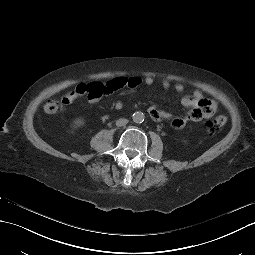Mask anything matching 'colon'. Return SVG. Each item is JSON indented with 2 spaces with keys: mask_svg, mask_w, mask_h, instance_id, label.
I'll return each mask as SVG.
<instances>
[{
  "mask_svg": "<svg viewBox=\"0 0 255 255\" xmlns=\"http://www.w3.org/2000/svg\"><path fill=\"white\" fill-rule=\"evenodd\" d=\"M61 108V102L55 99H50L45 104V111L48 114H54L58 112ZM226 117L223 115H218L214 119L209 120L205 123V129L208 133L214 134L221 130L226 124Z\"/></svg>",
  "mask_w": 255,
  "mask_h": 255,
  "instance_id": "5ec220e1",
  "label": "colon"
}]
</instances>
